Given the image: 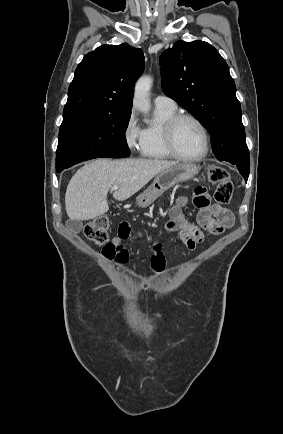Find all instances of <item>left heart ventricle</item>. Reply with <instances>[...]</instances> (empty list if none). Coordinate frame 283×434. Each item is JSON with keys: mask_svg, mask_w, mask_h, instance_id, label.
<instances>
[{"mask_svg": "<svg viewBox=\"0 0 283 434\" xmlns=\"http://www.w3.org/2000/svg\"><path fill=\"white\" fill-rule=\"evenodd\" d=\"M175 146L185 156H196L203 150V138L197 125L190 120L180 121L174 132Z\"/></svg>", "mask_w": 283, "mask_h": 434, "instance_id": "1", "label": "left heart ventricle"}]
</instances>
